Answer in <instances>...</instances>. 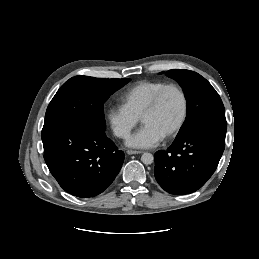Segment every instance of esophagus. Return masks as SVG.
Returning a JSON list of instances; mask_svg holds the SVG:
<instances>
[{
  "mask_svg": "<svg viewBox=\"0 0 259 259\" xmlns=\"http://www.w3.org/2000/svg\"><path fill=\"white\" fill-rule=\"evenodd\" d=\"M142 151H136V150H127L128 155H133V154H141Z\"/></svg>",
  "mask_w": 259,
  "mask_h": 259,
  "instance_id": "obj_1",
  "label": "esophagus"
}]
</instances>
